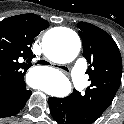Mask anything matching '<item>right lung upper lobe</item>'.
<instances>
[{"instance_id":"cb5924a9","label":"right lung upper lobe","mask_w":124,"mask_h":124,"mask_svg":"<svg viewBox=\"0 0 124 124\" xmlns=\"http://www.w3.org/2000/svg\"><path fill=\"white\" fill-rule=\"evenodd\" d=\"M48 27L35 14H21L0 22V96L25 89L24 75L35 57L34 38Z\"/></svg>"}]
</instances>
